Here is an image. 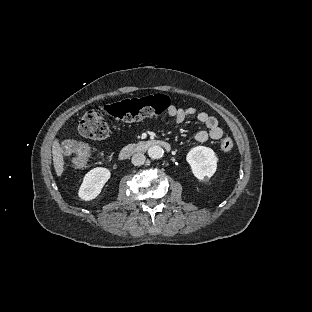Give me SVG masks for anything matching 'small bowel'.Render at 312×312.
Listing matches in <instances>:
<instances>
[{
    "instance_id": "1",
    "label": "small bowel",
    "mask_w": 312,
    "mask_h": 312,
    "mask_svg": "<svg viewBox=\"0 0 312 312\" xmlns=\"http://www.w3.org/2000/svg\"><path fill=\"white\" fill-rule=\"evenodd\" d=\"M167 114L175 126L182 125L189 118L205 125L206 130L198 131L195 135L198 142H206L209 139L218 140L223 136V129L218 119L204 111H198L193 106L179 107L171 104L167 109Z\"/></svg>"
}]
</instances>
